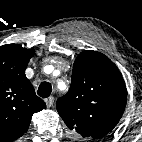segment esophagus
Instances as JSON below:
<instances>
[{
	"label": "esophagus",
	"mask_w": 142,
	"mask_h": 142,
	"mask_svg": "<svg viewBox=\"0 0 142 142\" xmlns=\"http://www.w3.org/2000/svg\"><path fill=\"white\" fill-rule=\"evenodd\" d=\"M45 102H46L47 108L52 107V106H53V103H54V97H53V96H50L49 98H47V99L45 100Z\"/></svg>",
	"instance_id": "1"
}]
</instances>
